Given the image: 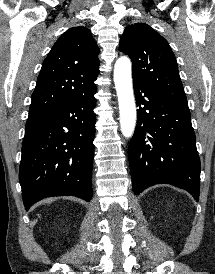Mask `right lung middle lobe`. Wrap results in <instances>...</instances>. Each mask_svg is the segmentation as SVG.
I'll list each match as a JSON object with an SVG mask.
<instances>
[{"label":"right lung middle lobe","mask_w":215,"mask_h":274,"mask_svg":"<svg viewBox=\"0 0 215 274\" xmlns=\"http://www.w3.org/2000/svg\"><path fill=\"white\" fill-rule=\"evenodd\" d=\"M43 114L40 113H29L28 119H27V123L33 122L36 119H38L39 117H41ZM26 123V124H27Z\"/></svg>","instance_id":"right-lung-middle-lobe-1"}]
</instances>
